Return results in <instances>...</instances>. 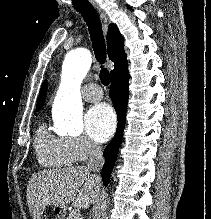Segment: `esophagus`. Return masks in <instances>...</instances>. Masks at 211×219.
Masks as SVG:
<instances>
[{
    "label": "esophagus",
    "mask_w": 211,
    "mask_h": 219,
    "mask_svg": "<svg viewBox=\"0 0 211 219\" xmlns=\"http://www.w3.org/2000/svg\"><path fill=\"white\" fill-rule=\"evenodd\" d=\"M93 7L96 9V11L100 14V17L103 20H106V14L104 10L98 5V4H93Z\"/></svg>",
    "instance_id": "34e87169"
}]
</instances>
